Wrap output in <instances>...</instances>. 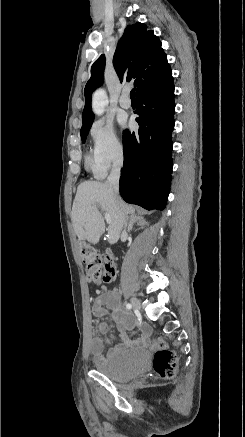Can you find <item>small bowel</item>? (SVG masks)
Returning <instances> with one entry per match:
<instances>
[{
	"label": "small bowel",
	"mask_w": 245,
	"mask_h": 437,
	"mask_svg": "<svg viewBox=\"0 0 245 437\" xmlns=\"http://www.w3.org/2000/svg\"><path fill=\"white\" fill-rule=\"evenodd\" d=\"M92 313L96 317H103L109 315L111 320L116 324L119 337L125 344H131L132 341L127 335V331L131 330L136 322L135 319L124 312L120 308L119 295L116 291H106L101 293L95 300ZM105 329V327H103ZM147 331V329H145ZM104 343L98 338L94 337L91 340V352L97 360L103 358Z\"/></svg>",
	"instance_id": "c3829d8e"
}]
</instances>
